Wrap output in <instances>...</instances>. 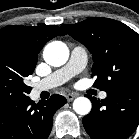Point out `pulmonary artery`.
I'll return each instance as SVG.
<instances>
[{
    "label": "pulmonary artery",
    "instance_id": "pulmonary-artery-1",
    "mask_svg": "<svg viewBox=\"0 0 139 139\" xmlns=\"http://www.w3.org/2000/svg\"><path fill=\"white\" fill-rule=\"evenodd\" d=\"M87 53L83 47L77 46L73 48L70 59L65 66L54 71L38 83L33 85L32 94L38 96L41 92L47 91L54 87L64 84L76 74L80 73L86 66ZM101 99L107 97V93L102 91L99 94Z\"/></svg>",
    "mask_w": 139,
    "mask_h": 139
}]
</instances>
